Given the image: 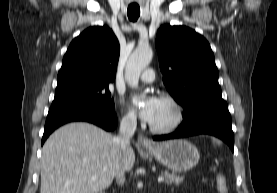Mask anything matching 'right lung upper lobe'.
<instances>
[{
    "instance_id": "right-lung-upper-lobe-1",
    "label": "right lung upper lobe",
    "mask_w": 277,
    "mask_h": 193,
    "mask_svg": "<svg viewBox=\"0 0 277 193\" xmlns=\"http://www.w3.org/2000/svg\"><path fill=\"white\" fill-rule=\"evenodd\" d=\"M119 54V42L110 28L86 29L64 55L55 92L108 85L115 78Z\"/></svg>"
}]
</instances>
